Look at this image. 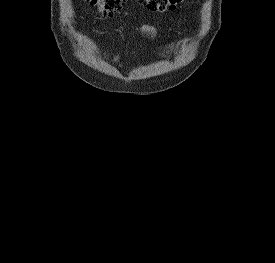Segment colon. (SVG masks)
I'll use <instances>...</instances> for the list:
<instances>
[{
  "instance_id": "1",
  "label": "colon",
  "mask_w": 275,
  "mask_h": 263,
  "mask_svg": "<svg viewBox=\"0 0 275 263\" xmlns=\"http://www.w3.org/2000/svg\"><path fill=\"white\" fill-rule=\"evenodd\" d=\"M183 0H137L140 5L154 12L173 11ZM102 16H111L121 10L126 0H87Z\"/></svg>"
}]
</instances>
